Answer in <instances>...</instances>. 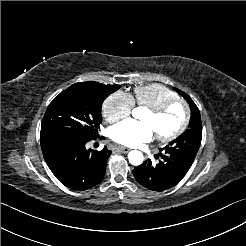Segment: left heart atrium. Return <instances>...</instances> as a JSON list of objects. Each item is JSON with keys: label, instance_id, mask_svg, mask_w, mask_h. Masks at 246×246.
<instances>
[{"label": "left heart atrium", "instance_id": "1", "mask_svg": "<svg viewBox=\"0 0 246 246\" xmlns=\"http://www.w3.org/2000/svg\"><path fill=\"white\" fill-rule=\"evenodd\" d=\"M153 129L144 122L127 120L113 127L112 139L122 145L139 146L150 141L154 136Z\"/></svg>", "mask_w": 246, "mask_h": 246}]
</instances>
